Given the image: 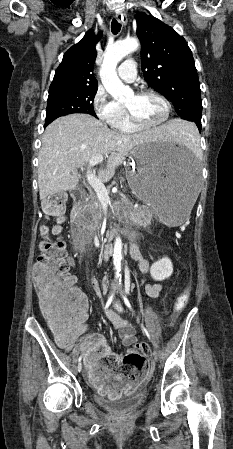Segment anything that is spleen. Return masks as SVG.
I'll return each mask as SVG.
<instances>
[{"instance_id": "3e777b00", "label": "spleen", "mask_w": 233, "mask_h": 449, "mask_svg": "<svg viewBox=\"0 0 233 449\" xmlns=\"http://www.w3.org/2000/svg\"><path fill=\"white\" fill-rule=\"evenodd\" d=\"M178 138L180 142L196 150L198 147V135L195 131V124L183 125V130L178 134Z\"/></svg>"}]
</instances>
